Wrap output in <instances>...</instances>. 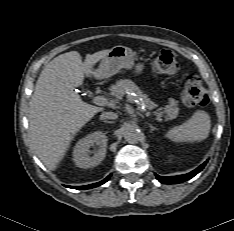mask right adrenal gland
Instances as JSON below:
<instances>
[{"instance_id":"obj_1","label":"right adrenal gland","mask_w":234,"mask_h":231,"mask_svg":"<svg viewBox=\"0 0 234 231\" xmlns=\"http://www.w3.org/2000/svg\"><path fill=\"white\" fill-rule=\"evenodd\" d=\"M104 122L111 123L110 121H106V120H104Z\"/></svg>"}]
</instances>
